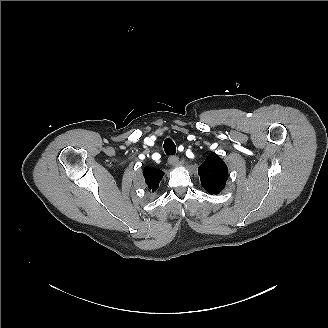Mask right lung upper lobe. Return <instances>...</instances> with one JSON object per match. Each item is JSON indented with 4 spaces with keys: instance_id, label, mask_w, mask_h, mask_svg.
Masks as SVG:
<instances>
[{
    "instance_id": "1",
    "label": "right lung upper lobe",
    "mask_w": 328,
    "mask_h": 328,
    "mask_svg": "<svg viewBox=\"0 0 328 328\" xmlns=\"http://www.w3.org/2000/svg\"><path fill=\"white\" fill-rule=\"evenodd\" d=\"M143 175L145 178L146 185L152 192H154L155 190H157L159 183L163 178L164 172L158 169L145 167L143 170Z\"/></svg>"
}]
</instances>
